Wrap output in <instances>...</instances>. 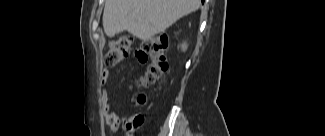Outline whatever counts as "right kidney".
Returning a JSON list of instances; mask_svg holds the SVG:
<instances>
[{"label": "right kidney", "instance_id": "right-kidney-1", "mask_svg": "<svg viewBox=\"0 0 325 136\" xmlns=\"http://www.w3.org/2000/svg\"><path fill=\"white\" fill-rule=\"evenodd\" d=\"M180 47H181V50H182L183 52H185V51L187 50V48H188V44H187L186 42H183V43L180 45Z\"/></svg>", "mask_w": 325, "mask_h": 136}]
</instances>
